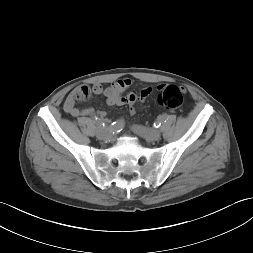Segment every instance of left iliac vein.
Wrapping results in <instances>:
<instances>
[{
  "label": "left iliac vein",
  "instance_id": "obj_1",
  "mask_svg": "<svg viewBox=\"0 0 253 253\" xmlns=\"http://www.w3.org/2000/svg\"><path fill=\"white\" fill-rule=\"evenodd\" d=\"M132 130L134 133L148 141H159L161 139V133L159 130H148L139 125L132 126Z\"/></svg>",
  "mask_w": 253,
  "mask_h": 253
}]
</instances>
